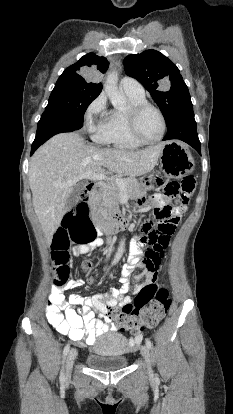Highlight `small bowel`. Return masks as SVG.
Here are the masks:
<instances>
[{"instance_id":"small-bowel-1","label":"small bowel","mask_w":233,"mask_h":414,"mask_svg":"<svg viewBox=\"0 0 233 414\" xmlns=\"http://www.w3.org/2000/svg\"><path fill=\"white\" fill-rule=\"evenodd\" d=\"M157 209L167 207L165 199L162 196L156 197ZM148 205L143 209H148ZM172 216L170 218L171 223L176 225L181 216L186 212V205L176 206L170 208ZM103 243L101 238L94 239L86 246H76L73 249L75 255H85L89 251L101 246ZM167 246V245H166ZM142 255V249L137 242H133L130 246V256L127 265L124 267L121 282L123 286L117 289L116 284L110 285V290L113 291V295L106 300L104 304V296L101 294H95L92 296H78L75 294H69L65 296L63 293L65 290L73 291L74 289L84 288L87 285V279L84 276H80L77 281L75 275H70L67 278V283L62 284V288H50L48 292L57 293L52 294L46 304V318L48 322L61 334L68 336L75 342H83L88 346H92L96 343L97 339L110 327L107 324L109 320V306L115 307L120 305L125 300H130L125 296L126 293L132 291L138 293L143 287L149 284H155L158 278V271H148L141 267L139 264V257ZM136 267L142 268V276L144 280L137 284L130 282V275ZM78 307V311L75 309ZM99 312L98 317L95 312ZM140 338V335L136 337V340Z\"/></svg>"}]
</instances>
